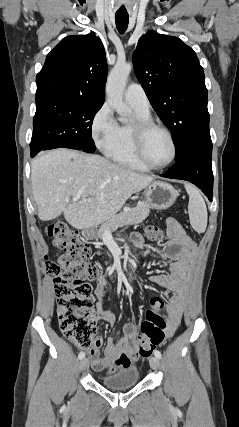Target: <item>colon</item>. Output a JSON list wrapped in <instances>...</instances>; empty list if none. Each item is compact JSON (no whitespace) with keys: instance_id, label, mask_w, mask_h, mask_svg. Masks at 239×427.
I'll use <instances>...</instances> for the list:
<instances>
[{"instance_id":"1","label":"colon","mask_w":239,"mask_h":427,"mask_svg":"<svg viewBox=\"0 0 239 427\" xmlns=\"http://www.w3.org/2000/svg\"><path fill=\"white\" fill-rule=\"evenodd\" d=\"M46 232L62 251L58 262L47 260L46 272L53 278L57 297V316L62 333L78 348L90 350L94 344L96 318L92 309L91 282L99 277V268L89 262L91 254L77 231L65 223H55ZM150 241L161 242L164 234L157 224L146 229ZM164 296L151 292L145 320L141 323L138 352L140 357L151 355L164 338L167 323L161 315Z\"/></svg>"}]
</instances>
